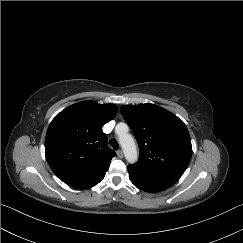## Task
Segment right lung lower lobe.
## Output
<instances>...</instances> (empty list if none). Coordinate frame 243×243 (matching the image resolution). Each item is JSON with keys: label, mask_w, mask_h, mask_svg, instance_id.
I'll use <instances>...</instances> for the list:
<instances>
[{"label": "right lung lower lobe", "mask_w": 243, "mask_h": 243, "mask_svg": "<svg viewBox=\"0 0 243 243\" xmlns=\"http://www.w3.org/2000/svg\"><path fill=\"white\" fill-rule=\"evenodd\" d=\"M104 176H105V173L102 174L101 176L97 177L96 179H94V180H92V181H90V182H88V183H86L84 185H81V186H79L77 188H79V189L91 188V187L95 186L96 184H98L99 182H101L103 180Z\"/></svg>", "instance_id": "obj_1"}]
</instances>
